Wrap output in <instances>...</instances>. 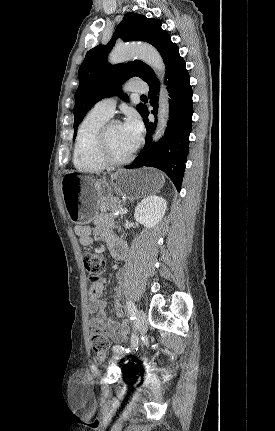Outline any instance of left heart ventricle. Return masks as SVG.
<instances>
[{
    "mask_svg": "<svg viewBox=\"0 0 275 431\" xmlns=\"http://www.w3.org/2000/svg\"><path fill=\"white\" fill-rule=\"evenodd\" d=\"M108 144L111 154L116 158H124L131 153L127 146L121 124H113L108 133Z\"/></svg>",
    "mask_w": 275,
    "mask_h": 431,
    "instance_id": "b2bd125f",
    "label": "left heart ventricle"
}]
</instances>
